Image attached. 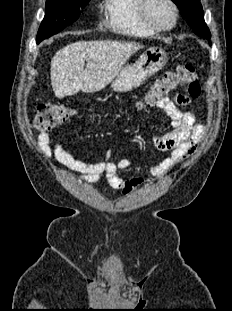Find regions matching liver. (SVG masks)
<instances>
[{
    "label": "liver",
    "mask_w": 232,
    "mask_h": 311,
    "mask_svg": "<svg viewBox=\"0 0 232 311\" xmlns=\"http://www.w3.org/2000/svg\"><path fill=\"white\" fill-rule=\"evenodd\" d=\"M142 48L135 43L108 40L79 41L63 47L51 60V84L55 96L62 99L80 90L94 93L104 89L131 55Z\"/></svg>",
    "instance_id": "liver-1"
}]
</instances>
